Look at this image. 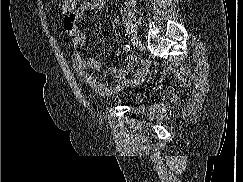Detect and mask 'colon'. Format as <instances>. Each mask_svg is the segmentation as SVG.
Returning <instances> with one entry per match:
<instances>
[{"label": "colon", "instance_id": "1", "mask_svg": "<svg viewBox=\"0 0 243 182\" xmlns=\"http://www.w3.org/2000/svg\"><path fill=\"white\" fill-rule=\"evenodd\" d=\"M77 6V0H64L61 6V10L64 14H73Z\"/></svg>", "mask_w": 243, "mask_h": 182}]
</instances>
